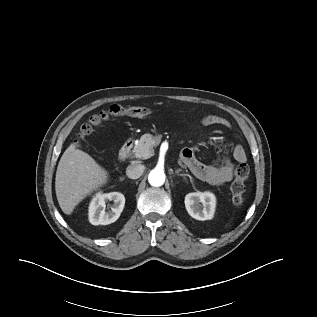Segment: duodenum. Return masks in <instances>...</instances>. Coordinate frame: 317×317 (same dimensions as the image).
<instances>
[{"label":"duodenum","instance_id":"410a0bca","mask_svg":"<svg viewBox=\"0 0 317 317\" xmlns=\"http://www.w3.org/2000/svg\"><path fill=\"white\" fill-rule=\"evenodd\" d=\"M131 147H132V141L131 140H127L123 146L121 147L120 151H119V158L120 160H125L129 153H130V150H131Z\"/></svg>","mask_w":317,"mask_h":317}]
</instances>
